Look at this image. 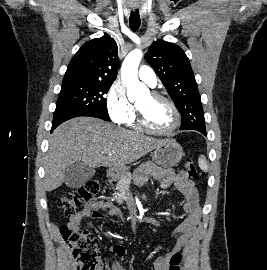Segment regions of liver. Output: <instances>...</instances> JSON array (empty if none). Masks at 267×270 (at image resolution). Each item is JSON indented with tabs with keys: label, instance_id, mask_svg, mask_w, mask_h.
Returning a JSON list of instances; mask_svg holds the SVG:
<instances>
[{
	"label": "liver",
	"instance_id": "obj_1",
	"mask_svg": "<svg viewBox=\"0 0 267 270\" xmlns=\"http://www.w3.org/2000/svg\"><path fill=\"white\" fill-rule=\"evenodd\" d=\"M165 141L97 118L71 119L50 137L45 159V189L50 192L60 187L65 169L75 162L93 168H123Z\"/></svg>",
	"mask_w": 267,
	"mask_h": 270
}]
</instances>
